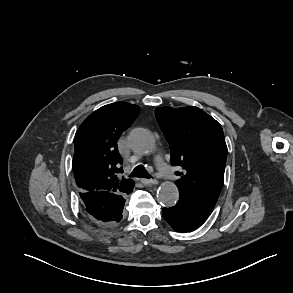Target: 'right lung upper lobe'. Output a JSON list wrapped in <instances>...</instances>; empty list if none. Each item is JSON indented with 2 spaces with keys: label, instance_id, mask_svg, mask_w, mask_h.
<instances>
[{
  "label": "right lung upper lobe",
  "instance_id": "obj_1",
  "mask_svg": "<svg viewBox=\"0 0 293 293\" xmlns=\"http://www.w3.org/2000/svg\"><path fill=\"white\" fill-rule=\"evenodd\" d=\"M140 107L126 102L103 106L88 116L74 138L73 172L81 193L125 192L133 185L120 178L117 141L136 119Z\"/></svg>",
  "mask_w": 293,
  "mask_h": 293
}]
</instances>
